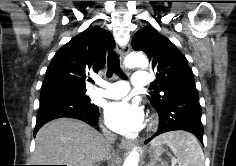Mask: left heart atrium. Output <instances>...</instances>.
<instances>
[{
	"instance_id": "39dd6f15",
	"label": "left heart atrium",
	"mask_w": 236,
	"mask_h": 166,
	"mask_svg": "<svg viewBox=\"0 0 236 166\" xmlns=\"http://www.w3.org/2000/svg\"><path fill=\"white\" fill-rule=\"evenodd\" d=\"M105 121L113 131L130 135L143 128L145 115L138 103L125 99L106 106Z\"/></svg>"
}]
</instances>
